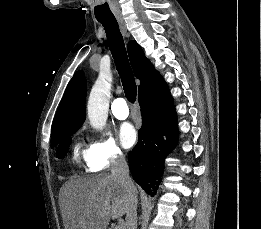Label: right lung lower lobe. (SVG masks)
<instances>
[{
	"label": "right lung lower lobe",
	"mask_w": 261,
	"mask_h": 229,
	"mask_svg": "<svg viewBox=\"0 0 261 229\" xmlns=\"http://www.w3.org/2000/svg\"><path fill=\"white\" fill-rule=\"evenodd\" d=\"M143 116L138 143L129 152V169L148 194L154 196L161 182L164 159L178 138L173 99L163 79L138 94Z\"/></svg>",
	"instance_id": "obj_1"
}]
</instances>
